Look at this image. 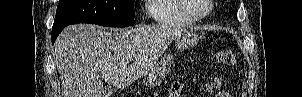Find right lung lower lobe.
I'll return each mask as SVG.
<instances>
[{"instance_id":"1","label":"right lung lower lobe","mask_w":302,"mask_h":97,"mask_svg":"<svg viewBox=\"0 0 302 97\" xmlns=\"http://www.w3.org/2000/svg\"><path fill=\"white\" fill-rule=\"evenodd\" d=\"M63 30V28L52 30V43L56 40L59 33Z\"/></svg>"}]
</instances>
